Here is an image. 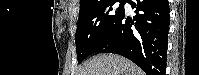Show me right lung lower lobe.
I'll list each match as a JSON object with an SVG mask.
<instances>
[{"mask_svg": "<svg viewBox=\"0 0 199 75\" xmlns=\"http://www.w3.org/2000/svg\"><path fill=\"white\" fill-rule=\"evenodd\" d=\"M135 8L125 12L116 28L94 54L116 53L137 64L147 75H165L169 31L168 0H126Z\"/></svg>", "mask_w": 199, "mask_h": 75, "instance_id": "98d812e1", "label": "right lung lower lobe"}]
</instances>
